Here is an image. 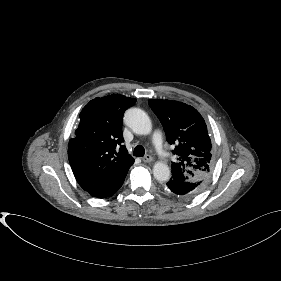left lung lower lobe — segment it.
Here are the masks:
<instances>
[{"label":"left lung lower lobe","instance_id":"1","mask_svg":"<svg viewBox=\"0 0 281 281\" xmlns=\"http://www.w3.org/2000/svg\"><path fill=\"white\" fill-rule=\"evenodd\" d=\"M202 186L203 184L201 182L182 183L175 180H170L166 184V189L169 193H172L178 197L191 198L202 189Z\"/></svg>","mask_w":281,"mask_h":281}]
</instances>
